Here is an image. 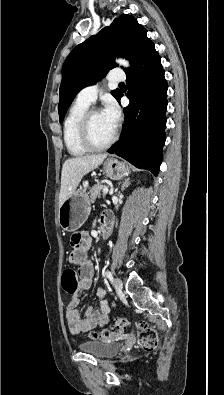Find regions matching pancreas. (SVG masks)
<instances>
[{
  "label": "pancreas",
  "mask_w": 224,
  "mask_h": 395,
  "mask_svg": "<svg viewBox=\"0 0 224 395\" xmlns=\"http://www.w3.org/2000/svg\"><path fill=\"white\" fill-rule=\"evenodd\" d=\"M104 188H107L106 185L97 184L93 187V189L89 192V200L90 202H95L97 198L101 196V192Z\"/></svg>",
  "instance_id": "obj_1"
}]
</instances>
